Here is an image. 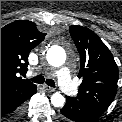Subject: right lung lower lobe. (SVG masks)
Here are the masks:
<instances>
[{
  "label": "right lung lower lobe",
  "instance_id": "1",
  "mask_svg": "<svg viewBox=\"0 0 122 122\" xmlns=\"http://www.w3.org/2000/svg\"><path fill=\"white\" fill-rule=\"evenodd\" d=\"M36 92V86L24 92L1 91V118L10 119L20 116L23 112L24 102L30 99Z\"/></svg>",
  "mask_w": 122,
  "mask_h": 122
}]
</instances>
